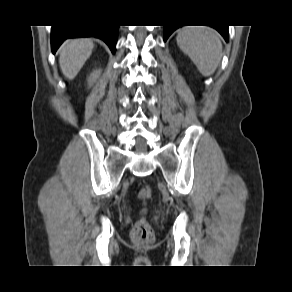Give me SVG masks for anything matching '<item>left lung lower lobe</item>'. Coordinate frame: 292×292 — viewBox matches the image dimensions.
Returning a JSON list of instances; mask_svg holds the SVG:
<instances>
[{"mask_svg": "<svg viewBox=\"0 0 292 292\" xmlns=\"http://www.w3.org/2000/svg\"><path fill=\"white\" fill-rule=\"evenodd\" d=\"M178 27H181V26H164V40H166L170 34L176 30ZM211 27H214L215 29H217L221 35L224 37V39L226 41H228V26H211Z\"/></svg>", "mask_w": 292, "mask_h": 292, "instance_id": "obj_1", "label": "left lung lower lobe"}]
</instances>
